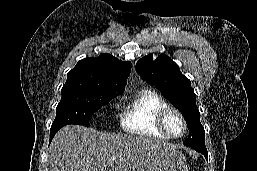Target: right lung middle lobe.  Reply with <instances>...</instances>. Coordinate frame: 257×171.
Masks as SVG:
<instances>
[{
  "mask_svg": "<svg viewBox=\"0 0 257 171\" xmlns=\"http://www.w3.org/2000/svg\"><path fill=\"white\" fill-rule=\"evenodd\" d=\"M52 127L77 124L88 127L90 116L120 93L87 87H67L61 90Z\"/></svg>",
  "mask_w": 257,
  "mask_h": 171,
  "instance_id": "obj_1",
  "label": "right lung middle lobe"
}]
</instances>
